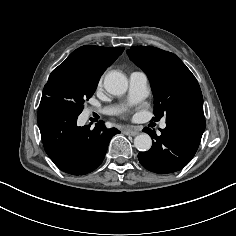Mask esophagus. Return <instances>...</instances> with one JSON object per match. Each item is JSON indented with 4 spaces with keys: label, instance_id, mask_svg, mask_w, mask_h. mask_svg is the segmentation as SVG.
Returning a JSON list of instances; mask_svg holds the SVG:
<instances>
[{
    "label": "esophagus",
    "instance_id": "1",
    "mask_svg": "<svg viewBox=\"0 0 236 236\" xmlns=\"http://www.w3.org/2000/svg\"><path fill=\"white\" fill-rule=\"evenodd\" d=\"M123 133H124L125 135H130V136H136V135L139 134V132L136 131V130H126V131H124Z\"/></svg>",
    "mask_w": 236,
    "mask_h": 236
}]
</instances>
